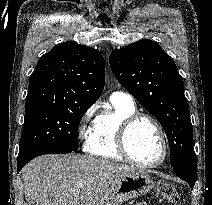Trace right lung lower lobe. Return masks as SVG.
<instances>
[{
  "mask_svg": "<svg viewBox=\"0 0 212 205\" xmlns=\"http://www.w3.org/2000/svg\"><path fill=\"white\" fill-rule=\"evenodd\" d=\"M73 152V150L65 149V148H55V147H42L37 148L34 150H31L24 155L18 156L17 161V172H20V170L33 158L44 155V154H50V153H70Z\"/></svg>",
  "mask_w": 212,
  "mask_h": 205,
  "instance_id": "right-lung-lower-lobe-1",
  "label": "right lung lower lobe"
}]
</instances>
